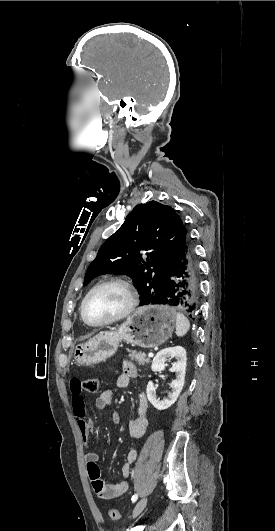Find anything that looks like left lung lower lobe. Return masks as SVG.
Returning a JSON list of instances; mask_svg holds the SVG:
<instances>
[{
	"mask_svg": "<svg viewBox=\"0 0 275 531\" xmlns=\"http://www.w3.org/2000/svg\"><path fill=\"white\" fill-rule=\"evenodd\" d=\"M199 282L198 260L194 245L187 234L172 261L164 292L153 304L174 306L188 312L192 317L199 308Z\"/></svg>",
	"mask_w": 275,
	"mask_h": 531,
	"instance_id": "left-lung-lower-lobe-1",
	"label": "left lung lower lobe"
}]
</instances>
